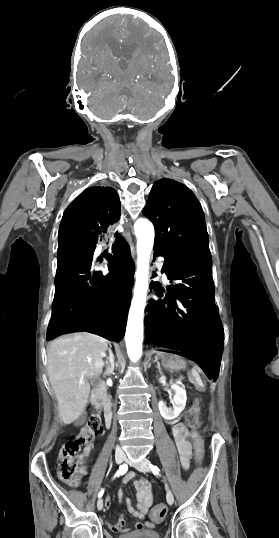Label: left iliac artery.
<instances>
[{
    "label": "left iliac artery",
    "mask_w": 279,
    "mask_h": 538,
    "mask_svg": "<svg viewBox=\"0 0 279 538\" xmlns=\"http://www.w3.org/2000/svg\"><path fill=\"white\" fill-rule=\"evenodd\" d=\"M150 468L152 469V471H153L154 474H158V473H159V469H158L156 466L150 465Z\"/></svg>",
    "instance_id": "left-iliac-artery-1"
}]
</instances>
